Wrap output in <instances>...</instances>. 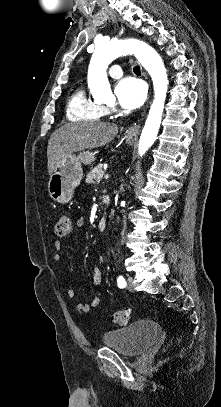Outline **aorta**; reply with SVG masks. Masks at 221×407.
Here are the masks:
<instances>
[{
    "mask_svg": "<svg viewBox=\"0 0 221 407\" xmlns=\"http://www.w3.org/2000/svg\"><path fill=\"white\" fill-rule=\"evenodd\" d=\"M127 54L136 56L150 74L154 85V100L138 145V153L143 156L156 140L168 89L166 69L159 54L145 42L136 39L98 43L88 69V87L95 100H108L112 92L106 70L113 60Z\"/></svg>",
    "mask_w": 221,
    "mask_h": 407,
    "instance_id": "obj_1",
    "label": "aorta"
}]
</instances>
